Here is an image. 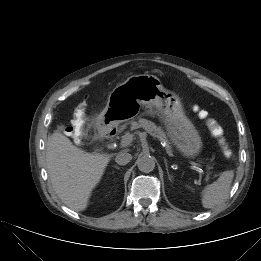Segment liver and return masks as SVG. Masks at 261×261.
<instances>
[{
    "instance_id": "liver-1",
    "label": "liver",
    "mask_w": 261,
    "mask_h": 261,
    "mask_svg": "<svg viewBox=\"0 0 261 261\" xmlns=\"http://www.w3.org/2000/svg\"><path fill=\"white\" fill-rule=\"evenodd\" d=\"M110 159V155L83 151L61 133H53L47 140L46 165L52 187L61 201L75 211L87 208Z\"/></svg>"
}]
</instances>
